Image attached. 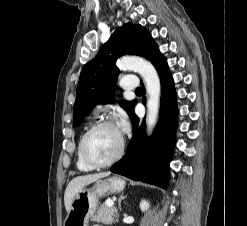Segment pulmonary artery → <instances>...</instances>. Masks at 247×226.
<instances>
[{
	"mask_svg": "<svg viewBox=\"0 0 247 226\" xmlns=\"http://www.w3.org/2000/svg\"><path fill=\"white\" fill-rule=\"evenodd\" d=\"M120 85L124 90H134L139 86V82L135 76L129 75L122 78ZM102 107L101 104H98L95 109L100 111Z\"/></svg>",
	"mask_w": 247,
	"mask_h": 226,
	"instance_id": "e3ab8cb5",
	"label": "pulmonary artery"
}]
</instances>
